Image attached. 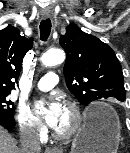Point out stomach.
<instances>
[{
    "label": "stomach",
    "instance_id": "1",
    "mask_svg": "<svg viewBox=\"0 0 130 153\" xmlns=\"http://www.w3.org/2000/svg\"><path fill=\"white\" fill-rule=\"evenodd\" d=\"M75 136L71 153H117L121 125L117 113L105 103H95Z\"/></svg>",
    "mask_w": 130,
    "mask_h": 153
}]
</instances>
